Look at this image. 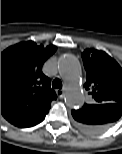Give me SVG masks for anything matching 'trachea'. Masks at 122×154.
Returning <instances> with one entry per match:
<instances>
[{
  "instance_id": "3493384b",
  "label": "trachea",
  "mask_w": 122,
  "mask_h": 154,
  "mask_svg": "<svg viewBox=\"0 0 122 154\" xmlns=\"http://www.w3.org/2000/svg\"><path fill=\"white\" fill-rule=\"evenodd\" d=\"M52 87L54 89H62V82H61V80L58 79V78L54 79L53 82H52Z\"/></svg>"
}]
</instances>
